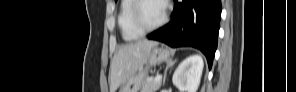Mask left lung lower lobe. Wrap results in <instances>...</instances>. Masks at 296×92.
<instances>
[{"instance_id":"left-lung-lower-lobe-1","label":"left lung lower lobe","mask_w":296,"mask_h":92,"mask_svg":"<svg viewBox=\"0 0 296 92\" xmlns=\"http://www.w3.org/2000/svg\"><path fill=\"white\" fill-rule=\"evenodd\" d=\"M171 21L147 37L171 47L190 46L201 50L212 66L217 47L221 0H173Z\"/></svg>"}]
</instances>
